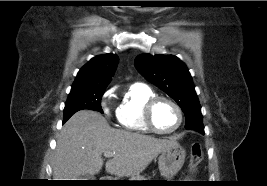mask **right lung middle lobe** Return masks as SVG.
Returning a JSON list of instances; mask_svg holds the SVG:
<instances>
[{
  "label": "right lung middle lobe",
  "instance_id": "right-lung-middle-lobe-1",
  "mask_svg": "<svg viewBox=\"0 0 267 186\" xmlns=\"http://www.w3.org/2000/svg\"><path fill=\"white\" fill-rule=\"evenodd\" d=\"M104 89L71 91L64 108V122L79 110L88 109L103 113L101 98Z\"/></svg>",
  "mask_w": 267,
  "mask_h": 186
}]
</instances>
